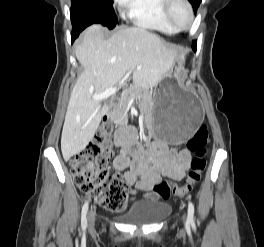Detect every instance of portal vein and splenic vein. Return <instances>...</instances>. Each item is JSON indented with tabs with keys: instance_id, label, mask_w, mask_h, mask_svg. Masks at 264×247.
Wrapping results in <instances>:
<instances>
[{
	"instance_id": "1",
	"label": "portal vein and splenic vein",
	"mask_w": 264,
	"mask_h": 247,
	"mask_svg": "<svg viewBox=\"0 0 264 247\" xmlns=\"http://www.w3.org/2000/svg\"><path fill=\"white\" fill-rule=\"evenodd\" d=\"M122 82H123V80L118 85H115L113 87H110V88L106 89L105 91H103L100 94L92 95V99H94V100H104V99H107L111 95L115 94V92L117 91V89L121 86Z\"/></svg>"
}]
</instances>
